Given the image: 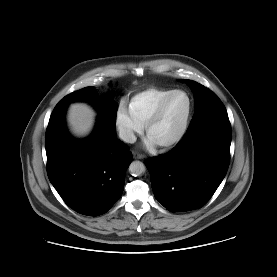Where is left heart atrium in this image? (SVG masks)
I'll list each match as a JSON object with an SVG mask.
<instances>
[{
  "mask_svg": "<svg viewBox=\"0 0 277 277\" xmlns=\"http://www.w3.org/2000/svg\"><path fill=\"white\" fill-rule=\"evenodd\" d=\"M146 147L152 149L156 145V143L148 136L145 140Z\"/></svg>",
  "mask_w": 277,
  "mask_h": 277,
  "instance_id": "left-heart-atrium-1",
  "label": "left heart atrium"
}]
</instances>
